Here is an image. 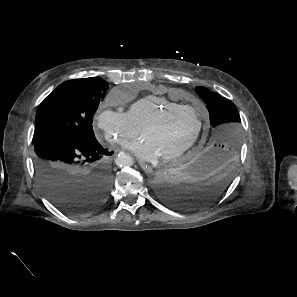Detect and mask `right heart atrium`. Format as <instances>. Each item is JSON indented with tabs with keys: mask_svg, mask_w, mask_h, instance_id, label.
Listing matches in <instances>:
<instances>
[{
	"mask_svg": "<svg viewBox=\"0 0 297 297\" xmlns=\"http://www.w3.org/2000/svg\"><path fill=\"white\" fill-rule=\"evenodd\" d=\"M116 99L110 95L103 102L95 116L97 129L104 138L112 144L125 145L138 133V128L132 123L126 112L115 107Z\"/></svg>",
	"mask_w": 297,
	"mask_h": 297,
	"instance_id": "right-heart-atrium-1",
	"label": "right heart atrium"
}]
</instances>
